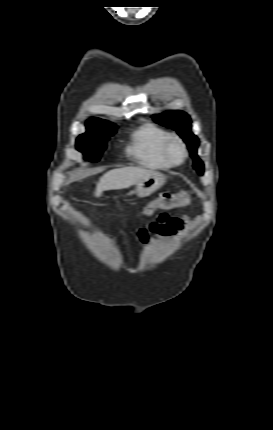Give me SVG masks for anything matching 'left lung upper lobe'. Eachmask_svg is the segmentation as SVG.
Segmentation results:
<instances>
[{
    "label": "left lung upper lobe",
    "mask_w": 273,
    "mask_h": 430,
    "mask_svg": "<svg viewBox=\"0 0 273 430\" xmlns=\"http://www.w3.org/2000/svg\"><path fill=\"white\" fill-rule=\"evenodd\" d=\"M153 118L157 123L178 132L190 149L191 157L194 159L193 167L202 175L204 165L196 153L198 138L191 132L190 117L183 111H166L162 114L154 115Z\"/></svg>",
    "instance_id": "obj_1"
}]
</instances>
